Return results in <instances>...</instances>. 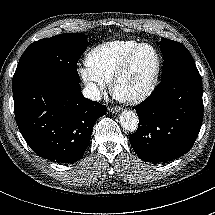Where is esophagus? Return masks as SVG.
Returning <instances> with one entry per match:
<instances>
[{
	"instance_id": "34e87169",
	"label": "esophagus",
	"mask_w": 215,
	"mask_h": 215,
	"mask_svg": "<svg viewBox=\"0 0 215 215\" xmlns=\"http://www.w3.org/2000/svg\"><path fill=\"white\" fill-rule=\"evenodd\" d=\"M109 111L112 112V113H117V112L120 111V108H118V107H113V108H110Z\"/></svg>"
}]
</instances>
